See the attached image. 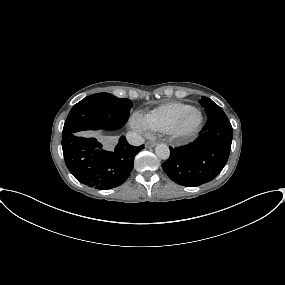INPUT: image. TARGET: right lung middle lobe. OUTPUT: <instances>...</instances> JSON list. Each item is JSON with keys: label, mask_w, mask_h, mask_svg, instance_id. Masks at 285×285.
Returning a JSON list of instances; mask_svg holds the SVG:
<instances>
[{"label": "right lung middle lobe", "mask_w": 285, "mask_h": 285, "mask_svg": "<svg viewBox=\"0 0 285 285\" xmlns=\"http://www.w3.org/2000/svg\"><path fill=\"white\" fill-rule=\"evenodd\" d=\"M132 102L109 93L87 96L75 104L63 127V137L84 130H117L129 118Z\"/></svg>", "instance_id": "dd1d6c3e"}]
</instances>
